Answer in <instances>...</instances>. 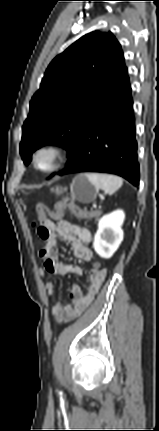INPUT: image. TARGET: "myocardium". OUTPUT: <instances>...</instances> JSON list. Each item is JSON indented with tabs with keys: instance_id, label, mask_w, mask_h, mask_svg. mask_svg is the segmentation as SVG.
I'll list each match as a JSON object with an SVG mask.
<instances>
[{
	"instance_id": "myocardium-1",
	"label": "myocardium",
	"mask_w": 159,
	"mask_h": 431,
	"mask_svg": "<svg viewBox=\"0 0 159 431\" xmlns=\"http://www.w3.org/2000/svg\"><path fill=\"white\" fill-rule=\"evenodd\" d=\"M43 153H49L52 157V162L47 168H42L38 164L39 156ZM66 158V150L59 144L54 142H46L37 146L31 155L33 167L42 173H51L56 171Z\"/></svg>"
}]
</instances>
